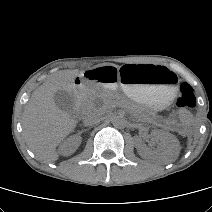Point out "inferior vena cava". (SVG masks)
<instances>
[{"instance_id": "1", "label": "inferior vena cava", "mask_w": 212, "mask_h": 212, "mask_svg": "<svg viewBox=\"0 0 212 212\" xmlns=\"http://www.w3.org/2000/svg\"><path fill=\"white\" fill-rule=\"evenodd\" d=\"M102 119L103 117L99 112H97L96 110H91L85 114V116L83 117V122L85 126H92L99 123Z\"/></svg>"}]
</instances>
